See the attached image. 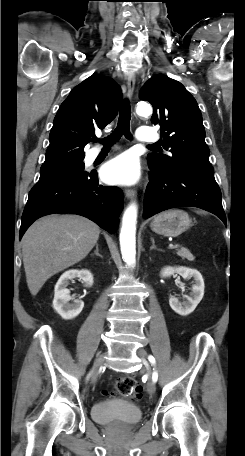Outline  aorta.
I'll return each instance as SVG.
<instances>
[{"label":"aorta","mask_w":245,"mask_h":456,"mask_svg":"<svg viewBox=\"0 0 245 456\" xmlns=\"http://www.w3.org/2000/svg\"><path fill=\"white\" fill-rule=\"evenodd\" d=\"M136 112L140 116H149L152 107L149 103L141 102L138 103ZM136 221L137 206L132 203L124 212L119 236L122 258L128 265H133L136 261Z\"/></svg>","instance_id":"762f6f07"}]
</instances>
